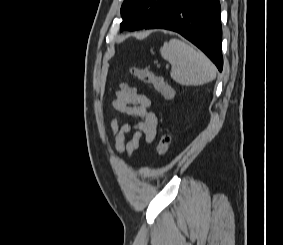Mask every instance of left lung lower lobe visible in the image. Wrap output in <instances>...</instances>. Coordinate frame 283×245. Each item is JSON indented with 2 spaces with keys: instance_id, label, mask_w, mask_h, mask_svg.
I'll return each instance as SVG.
<instances>
[{
  "instance_id": "left-lung-lower-lobe-1",
  "label": "left lung lower lobe",
  "mask_w": 283,
  "mask_h": 245,
  "mask_svg": "<svg viewBox=\"0 0 283 245\" xmlns=\"http://www.w3.org/2000/svg\"><path fill=\"white\" fill-rule=\"evenodd\" d=\"M219 0H173L146 29L178 32L201 49L222 71V27Z\"/></svg>"
}]
</instances>
